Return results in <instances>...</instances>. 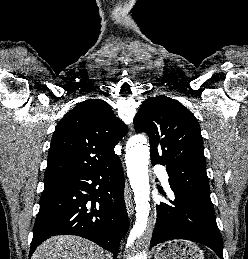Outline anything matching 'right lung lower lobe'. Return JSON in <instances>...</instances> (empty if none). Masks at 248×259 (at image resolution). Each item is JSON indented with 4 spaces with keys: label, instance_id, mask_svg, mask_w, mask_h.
I'll list each match as a JSON object with an SVG mask.
<instances>
[{
    "label": "right lung lower lobe",
    "instance_id": "98d812e1",
    "mask_svg": "<svg viewBox=\"0 0 248 259\" xmlns=\"http://www.w3.org/2000/svg\"><path fill=\"white\" fill-rule=\"evenodd\" d=\"M129 228L124 175L116 155L106 165L44 181L29 257L54 235H77L118 253Z\"/></svg>",
    "mask_w": 248,
    "mask_h": 259
}]
</instances>
